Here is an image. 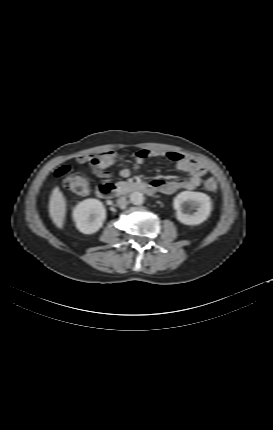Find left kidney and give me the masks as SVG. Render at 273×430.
Wrapping results in <instances>:
<instances>
[{"label":"left kidney","instance_id":"1","mask_svg":"<svg viewBox=\"0 0 273 430\" xmlns=\"http://www.w3.org/2000/svg\"><path fill=\"white\" fill-rule=\"evenodd\" d=\"M185 204H190L196 209L193 214L183 212ZM176 210V218L185 225H198L204 222L210 215L211 198L202 192L183 191L179 193L173 202Z\"/></svg>","mask_w":273,"mask_h":430}]
</instances>
